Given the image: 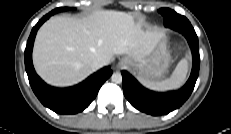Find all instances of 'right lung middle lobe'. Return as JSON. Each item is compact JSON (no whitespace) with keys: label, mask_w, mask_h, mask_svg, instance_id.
Segmentation results:
<instances>
[{"label":"right lung middle lobe","mask_w":231,"mask_h":134,"mask_svg":"<svg viewBox=\"0 0 231 134\" xmlns=\"http://www.w3.org/2000/svg\"><path fill=\"white\" fill-rule=\"evenodd\" d=\"M68 9H71V8H67V7H60V8H56V9H54V10H53V11H51V12L54 14V13H57V12H60V11L68 10Z\"/></svg>","instance_id":"right-lung-middle-lobe-1"}]
</instances>
